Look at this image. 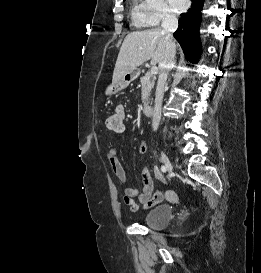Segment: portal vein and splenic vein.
<instances>
[{
  "label": "portal vein and splenic vein",
  "mask_w": 261,
  "mask_h": 273,
  "mask_svg": "<svg viewBox=\"0 0 261 273\" xmlns=\"http://www.w3.org/2000/svg\"><path fill=\"white\" fill-rule=\"evenodd\" d=\"M150 73L156 75L158 73V67L156 65H153L151 67Z\"/></svg>",
  "instance_id": "portal-vein-and-splenic-vein-1"
}]
</instances>
